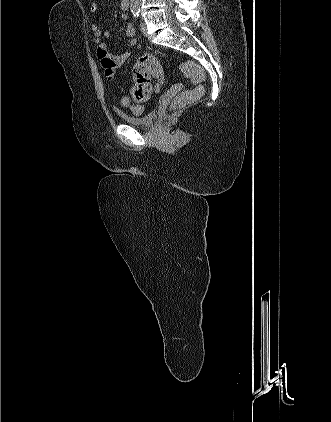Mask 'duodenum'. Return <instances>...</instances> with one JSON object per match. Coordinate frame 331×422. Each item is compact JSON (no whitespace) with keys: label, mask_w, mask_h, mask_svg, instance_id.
I'll return each instance as SVG.
<instances>
[{"label":"duodenum","mask_w":331,"mask_h":422,"mask_svg":"<svg viewBox=\"0 0 331 422\" xmlns=\"http://www.w3.org/2000/svg\"><path fill=\"white\" fill-rule=\"evenodd\" d=\"M121 1H122V3H123L124 8H125V9H128V8H129V3H130L129 1H130V0H121Z\"/></svg>","instance_id":"410a0bca"}]
</instances>
